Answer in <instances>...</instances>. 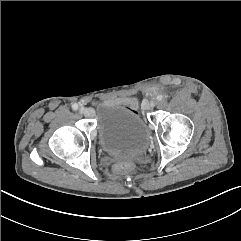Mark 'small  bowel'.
<instances>
[{
	"label": "small bowel",
	"instance_id": "c3829d8e",
	"mask_svg": "<svg viewBox=\"0 0 241 241\" xmlns=\"http://www.w3.org/2000/svg\"><path fill=\"white\" fill-rule=\"evenodd\" d=\"M120 101L132 108H134L137 105V99L133 96L124 97L120 99Z\"/></svg>",
	"mask_w": 241,
	"mask_h": 241
}]
</instances>
